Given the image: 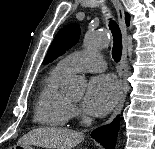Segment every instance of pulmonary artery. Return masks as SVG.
<instances>
[{"label": "pulmonary artery", "mask_w": 155, "mask_h": 149, "mask_svg": "<svg viewBox=\"0 0 155 149\" xmlns=\"http://www.w3.org/2000/svg\"><path fill=\"white\" fill-rule=\"evenodd\" d=\"M59 68L69 74L73 72H101L106 68L105 60L95 51H80L62 58Z\"/></svg>", "instance_id": "1"}]
</instances>
